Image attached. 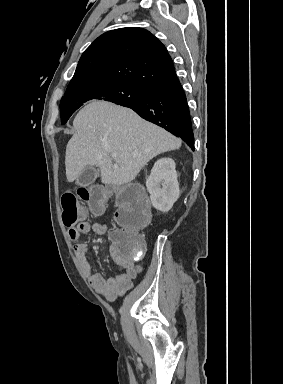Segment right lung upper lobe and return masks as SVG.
Segmentation results:
<instances>
[{
    "mask_svg": "<svg viewBox=\"0 0 283 384\" xmlns=\"http://www.w3.org/2000/svg\"><path fill=\"white\" fill-rule=\"evenodd\" d=\"M175 75L165 46L149 31L128 27L102 34L84 51L67 89L124 82L148 90Z\"/></svg>",
    "mask_w": 283,
    "mask_h": 384,
    "instance_id": "cb5924a9",
    "label": "right lung upper lobe"
}]
</instances>
